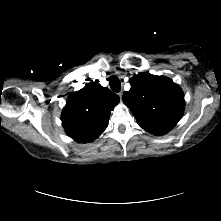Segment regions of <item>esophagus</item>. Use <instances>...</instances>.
<instances>
[{
	"mask_svg": "<svg viewBox=\"0 0 221 221\" xmlns=\"http://www.w3.org/2000/svg\"><path fill=\"white\" fill-rule=\"evenodd\" d=\"M122 96H123V93L122 92H120L119 93V97L122 99Z\"/></svg>",
	"mask_w": 221,
	"mask_h": 221,
	"instance_id": "esophagus-1",
	"label": "esophagus"
}]
</instances>
